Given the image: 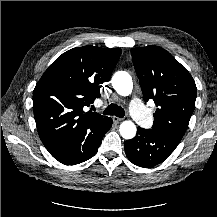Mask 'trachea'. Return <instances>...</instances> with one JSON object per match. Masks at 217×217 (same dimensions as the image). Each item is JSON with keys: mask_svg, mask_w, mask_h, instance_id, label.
I'll return each mask as SVG.
<instances>
[{"mask_svg": "<svg viewBox=\"0 0 217 217\" xmlns=\"http://www.w3.org/2000/svg\"><path fill=\"white\" fill-rule=\"evenodd\" d=\"M104 115H115L119 118H123L125 116V111L121 106H118L117 104H110L104 111Z\"/></svg>", "mask_w": 217, "mask_h": 217, "instance_id": "1", "label": "trachea"}]
</instances>
